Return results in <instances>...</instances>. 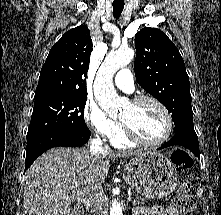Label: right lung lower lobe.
Wrapping results in <instances>:
<instances>
[{
    "label": "right lung lower lobe",
    "mask_w": 221,
    "mask_h": 215,
    "mask_svg": "<svg viewBox=\"0 0 221 215\" xmlns=\"http://www.w3.org/2000/svg\"><path fill=\"white\" fill-rule=\"evenodd\" d=\"M90 134V131H84L75 135L51 134L27 141L25 170L46 150L58 146H82L89 140Z\"/></svg>",
    "instance_id": "98d812e1"
}]
</instances>
